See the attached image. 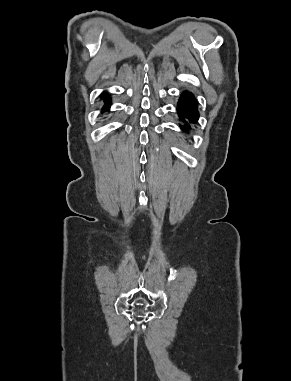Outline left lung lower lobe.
<instances>
[{
    "label": "left lung lower lobe",
    "instance_id": "0a47b994",
    "mask_svg": "<svg viewBox=\"0 0 291 381\" xmlns=\"http://www.w3.org/2000/svg\"><path fill=\"white\" fill-rule=\"evenodd\" d=\"M177 110L181 121L186 123L182 126L184 130L190 128L185 119H188L190 123H195L198 120L199 113L197 110V102L191 93L184 92L181 95Z\"/></svg>",
    "mask_w": 291,
    "mask_h": 381
}]
</instances>
